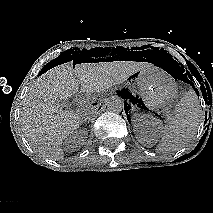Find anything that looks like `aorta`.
I'll return each instance as SVG.
<instances>
[{"label": "aorta", "instance_id": "1", "mask_svg": "<svg viewBox=\"0 0 213 213\" xmlns=\"http://www.w3.org/2000/svg\"><path fill=\"white\" fill-rule=\"evenodd\" d=\"M106 107L110 112L120 113L124 107L123 99L117 95L110 96L106 100Z\"/></svg>", "mask_w": 213, "mask_h": 213}]
</instances>
